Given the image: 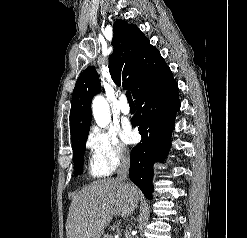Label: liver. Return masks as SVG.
Returning <instances> with one entry per match:
<instances>
[{
	"mask_svg": "<svg viewBox=\"0 0 247 238\" xmlns=\"http://www.w3.org/2000/svg\"><path fill=\"white\" fill-rule=\"evenodd\" d=\"M134 185L114 179L95 181L73 198L66 223L67 238H101L113 216L126 217L138 204Z\"/></svg>",
	"mask_w": 247,
	"mask_h": 238,
	"instance_id": "1",
	"label": "liver"
}]
</instances>
